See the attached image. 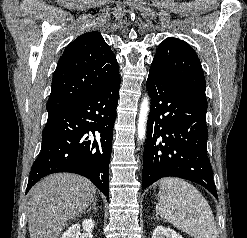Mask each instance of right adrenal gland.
<instances>
[{"mask_svg":"<svg viewBox=\"0 0 247 238\" xmlns=\"http://www.w3.org/2000/svg\"><path fill=\"white\" fill-rule=\"evenodd\" d=\"M96 204H97V198L95 199V201H94L92 207H89V208L86 210V212H90L92 209L97 210Z\"/></svg>","mask_w":247,"mask_h":238,"instance_id":"2a0ac1e0","label":"right adrenal gland"}]
</instances>
